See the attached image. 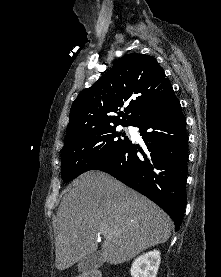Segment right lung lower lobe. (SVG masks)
I'll return each instance as SVG.
<instances>
[{"instance_id": "right-lung-lower-lobe-1", "label": "right lung lower lobe", "mask_w": 221, "mask_h": 277, "mask_svg": "<svg viewBox=\"0 0 221 277\" xmlns=\"http://www.w3.org/2000/svg\"><path fill=\"white\" fill-rule=\"evenodd\" d=\"M131 125L139 128L145 152L129 141L92 170L111 174L151 199L172 218L178 230L186 205L188 135L173 89Z\"/></svg>"}]
</instances>
